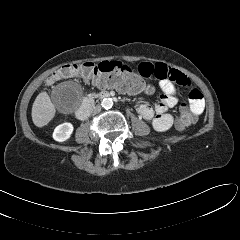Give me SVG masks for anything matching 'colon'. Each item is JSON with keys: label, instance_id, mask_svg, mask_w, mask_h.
I'll use <instances>...</instances> for the list:
<instances>
[{"label": "colon", "instance_id": "colon-1", "mask_svg": "<svg viewBox=\"0 0 240 240\" xmlns=\"http://www.w3.org/2000/svg\"><path fill=\"white\" fill-rule=\"evenodd\" d=\"M75 76L92 80L95 84L115 87L127 93H137L148 89L142 80V76L135 67H131L119 61L67 64L54 72L48 79V83L52 84L60 79ZM195 120V115L190 111L187 105L183 104L179 109L177 117L178 127H188Z\"/></svg>", "mask_w": 240, "mask_h": 240}]
</instances>
